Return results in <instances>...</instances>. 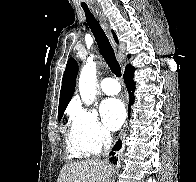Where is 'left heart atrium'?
I'll return each mask as SVG.
<instances>
[{"label":"left heart atrium","mask_w":196,"mask_h":182,"mask_svg":"<svg viewBox=\"0 0 196 182\" xmlns=\"http://www.w3.org/2000/svg\"><path fill=\"white\" fill-rule=\"evenodd\" d=\"M100 113L108 129H119L126 116L125 107L121 100L117 98L105 99L100 105Z\"/></svg>","instance_id":"left-heart-atrium-1"}]
</instances>
